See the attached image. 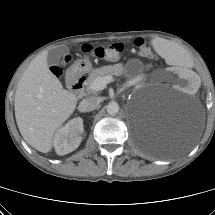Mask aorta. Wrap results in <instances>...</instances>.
<instances>
[{"label": "aorta", "mask_w": 215, "mask_h": 215, "mask_svg": "<svg viewBox=\"0 0 215 215\" xmlns=\"http://www.w3.org/2000/svg\"><path fill=\"white\" fill-rule=\"evenodd\" d=\"M106 110L109 115H115L119 112V105L115 101L109 102Z\"/></svg>", "instance_id": "1"}]
</instances>
